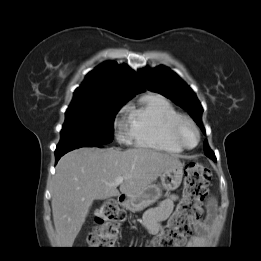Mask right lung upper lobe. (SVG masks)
<instances>
[{"label":"right lung upper lobe","mask_w":261,"mask_h":261,"mask_svg":"<svg viewBox=\"0 0 261 261\" xmlns=\"http://www.w3.org/2000/svg\"><path fill=\"white\" fill-rule=\"evenodd\" d=\"M144 90L132 69L108 61L87 74L83 84L75 90L73 99L101 96L130 99Z\"/></svg>","instance_id":"obj_1"}]
</instances>
